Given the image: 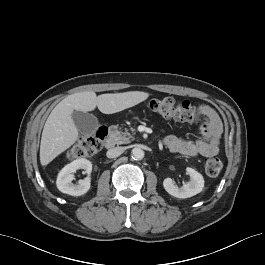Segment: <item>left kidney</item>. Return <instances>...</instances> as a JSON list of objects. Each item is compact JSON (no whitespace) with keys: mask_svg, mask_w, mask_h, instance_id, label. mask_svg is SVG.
<instances>
[{"mask_svg":"<svg viewBox=\"0 0 265 265\" xmlns=\"http://www.w3.org/2000/svg\"><path fill=\"white\" fill-rule=\"evenodd\" d=\"M187 174L190 176V181L184 183L182 187L175 185L171 178H166L163 181L164 189L172 196L180 199L192 197L203 190L204 178L193 168H186Z\"/></svg>","mask_w":265,"mask_h":265,"instance_id":"1","label":"left kidney"}]
</instances>
